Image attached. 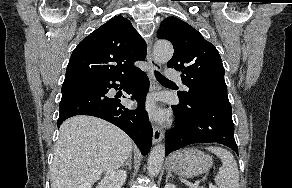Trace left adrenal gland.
Masks as SVG:
<instances>
[{
	"instance_id": "a2214340",
	"label": "left adrenal gland",
	"mask_w": 292,
	"mask_h": 188,
	"mask_svg": "<svg viewBox=\"0 0 292 188\" xmlns=\"http://www.w3.org/2000/svg\"><path fill=\"white\" fill-rule=\"evenodd\" d=\"M171 176H172L171 171H168L167 172V176H166V182L168 181V178L171 177Z\"/></svg>"
}]
</instances>
